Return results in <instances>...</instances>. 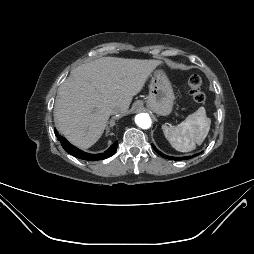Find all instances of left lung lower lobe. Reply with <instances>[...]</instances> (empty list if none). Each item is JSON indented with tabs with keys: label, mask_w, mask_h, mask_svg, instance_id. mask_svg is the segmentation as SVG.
Instances as JSON below:
<instances>
[{
	"label": "left lung lower lobe",
	"mask_w": 254,
	"mask_h": 254,
	"mask_svg": "<svg viewBox=\"0 0 254 254\" xmlns=\"http://www.w3.org/2000/svg\"><path fill=\"white\" fill-rule=\"evenodd\" d=\"M154 150L159 154L161 155L163 158H166V159H170V160H185V159H189L191 158V156H185V157H171V156H167L163 153H161L159 150L156 149V147L154 145H152ZM193 156H196V155H193Z\"/></svg>",
	"instance_id": "1"
}]
</instances>
